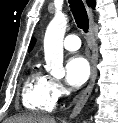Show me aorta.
I'll use <instances>...</instances> for the list:
<instances>
[{
  "mask_svg": "<svg viewBox=\"0 0 118 123\" xmlns=\"http://www.w3.org/2000/svg\"><path fill=\"white\" fill-rule=\"evenodd\" d=\"M67 18L56 15L47 27L44 37L46 70L54 77L65 75L63 67V39L67 27Z\"/></svg>",
  "mask_w": 118,
  "mask_h": 123,
  "instance_id": "aorta-1",
  "label": "aorta"
}]
</instances>
